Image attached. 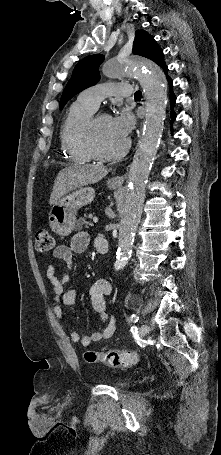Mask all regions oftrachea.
I'll return each mask as SVG.
<instances>
[{
	"label": "trachea",
	"mask_w": 221,
	"mask_h": 455,
	"mask_svg": "<svg viewBox=\"0 0 221 455\" xmlns=\"http://www.w3.org/2000/svg\"><path fill=\"white\" fill-rule=\"evenodd\" d=\"M134 97H142L141 91H136Z\"/></svg>",
	"instance_id": "1"
}]
</instances>
